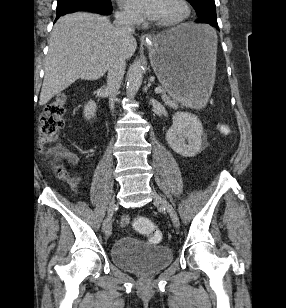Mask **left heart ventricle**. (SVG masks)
<instances>
[{"label": "left heart ventricle", "mask_w": 286, "mask_h": 308, "mask_svg": "<svg viewBox=\"0 0 286 308\" xmlns=\"http://www.w3.org/2000/svg\"><path fill=\"white\" fill-rule=\"evenodd\" d=\"M182 13V9L175 2V0H160L159 12L156 20H171L179 17Z\"/></svg>", "instance_id": "b2bd125f"}]
</instances>
